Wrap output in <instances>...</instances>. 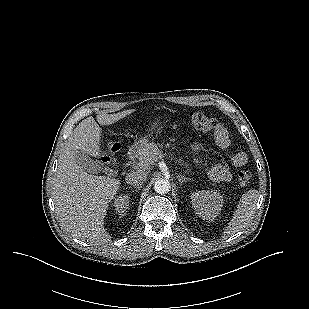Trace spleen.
Segmentation results:
<instances>
[{"mask_svg": "<svg viewBox=\"0 0 309 309\" xmlns=\"http://www.w3.org/2000/svg\"><path fill=\"white\" fill-rule=\"evenodd\" d=\"M258 197L259 192L255 189L249 190L242 195L239 204L237 205V209L234 211L232 219L230 220L226 230L223 232V237H228L237 233L248 224L256 209Z\"/></svg>", "mask_w": 309, "mask_h": 309, "instance_id": "obj_1", "label": "spleen"}]
</instances>
